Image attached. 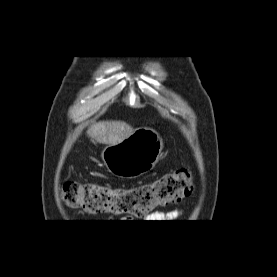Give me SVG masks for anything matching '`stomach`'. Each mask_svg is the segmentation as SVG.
I'll use <instances>...</instances> for the list:
<instances>
[{
  "label": "stomach",
  "mask_w": 277,
  "mask_h": 277,
  "mask_svg": "<svg viewBox=\"0 0 277 277\" xmlns=\"http://www.w3.org/2000/svg\"><path fill=\"white\" fill-rule=\"evenodd\" d=\"M162 150L159 133L152 128H141L121 142L106 146L101 157L111 174L132 179L153 169Z\"/></svg>",
  "instance_id": "1"
}]
</instances>
